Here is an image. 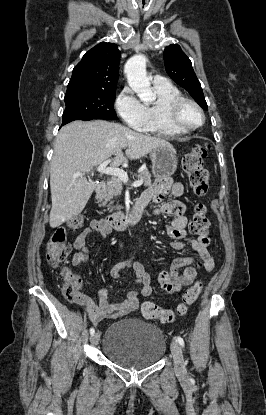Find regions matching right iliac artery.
I'll use <instances>...</instances> for the list:
<instances>
[{"label":"right iliac artery","mask_w":266,"mask_h":415,"mask_svg":"<svg viewBox=\"0 0 266 415\" xmlns=\"http://www.w3.org/2000/svg\"><path fill=\"white\" fill-rule=\"evenodd\" d=\"M94 332H95L94 328H93V327H91V328H90V334H91V335H93V334H94Z\"/></svg>","instance_id":"obj_1"}]
</instances>
